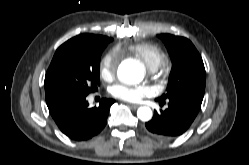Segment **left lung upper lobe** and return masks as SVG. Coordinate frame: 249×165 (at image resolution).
I'll use <instances>...</instances> for the list:
<instances>
[{
	"mask_svg": "<svg viewBox=\"0 0 249 165\" xmlns=\"http://www.w3.org/2000/svg\"><path fill=\"white\" fill-rule=\"evenodd\" d=\"M172 60L167 92L159 99L190 96L203 100L205 68L199 52L190 40L171 34H160Z\"/></svg>",
	"mask_w": 249,
	"mask_h": 165,
	"instance_id": "left-lung-upper-lobe-1",
	"label": "left lung upper lobe"
}]
</instances>
